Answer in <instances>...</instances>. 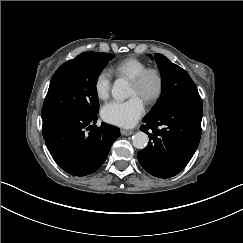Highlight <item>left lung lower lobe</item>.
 I'll use <instances>...</instances> for the list:
<instances>
[{
    "mask_svg": "<svg viewBox=\"0 0 243 243\" xmlns=\"http://www.w3.org/2000/svg\"><path fill=\"white\" fill-rule=\"evenodd\" d=\"M202 115L201 99H183L156 118L143 119L145 125L141 130L149 135V143L138 152L141 166L159 178H170L181 172L198 147Z\"/></svg>",
    "mask_w": 243,
    "mask_h": 243,
    "instance_id": "obj_1",
    "label": "left lung lower lobe"
}]
</instances>
